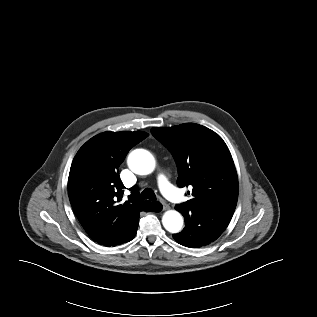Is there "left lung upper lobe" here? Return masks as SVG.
Instances as JSON below:
<instances>
[{
    "label": "left lung upper lobe",
    "mask_w": 317,
    "mask_h": 317,
    "mask_svg": "<svg viewBox=\"0 0 317 317\" xmlns=\"http://www.w3.org/2000/svg\"><path fill=\"white\" fill-rule=\"evenodd\" d=\"M151 132L172 153L178 168V186L192 189V199L177 208L211 207L234 213L237 173L230 151L218 134L195 123L152 128Z\"/></svg>",
    "instance_id": "left-lung-upper-lobe-1"
}]
</instances>
